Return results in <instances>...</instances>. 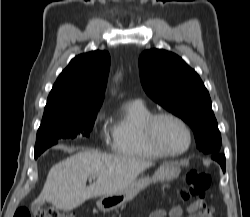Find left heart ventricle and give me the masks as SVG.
<instances>
[{
    "label": "left heart ventricle",
    "instance_id": "b2bd125f",
    "mask_svg": "<svg viewBox=\"0 0 250 217\" xmlns=\"http://www.w3.org/2000/svg\"><path fill=\"white\" fill-rule=\"evenodd\" d=\"M159 142L168 150L179 151L187 145V135L184 129L176 122L168 119L159 121L157 125Z\"/></svg>",
    "mask_w": 250,
    "mask_h": 217
}]
</instances>
